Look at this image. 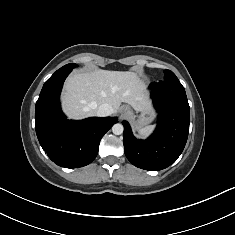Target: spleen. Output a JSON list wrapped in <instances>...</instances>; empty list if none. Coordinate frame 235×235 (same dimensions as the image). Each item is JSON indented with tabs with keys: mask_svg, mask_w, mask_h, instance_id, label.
Segmentation results:
<instances>
[{
	"mask_svg": "<svg viewBox=\"0 0 235 235\" xmlns=\"http://www.w3.org/2000/svg\"><path fill=\"white\" fill-rule=\"evenodd\" d=\"M155 129V126H148L139 131L140 136L142 137H148L153 130Z\"/></svg>",
	"mask_w": 235,
	"mask_h": 235,
	"instance_id": "obj_1",
	"label": "spleen"
}]
</instances>
